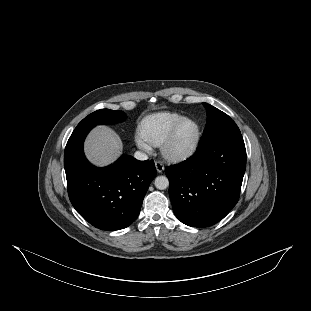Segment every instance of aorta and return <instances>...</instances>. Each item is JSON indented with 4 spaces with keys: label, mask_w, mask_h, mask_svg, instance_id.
Masks as SVG:
<instances>
[{
    "label": "aorta",
    "mask_w": 311,
    "mask_h": 311,
    "mask_svg": "<svg viewBox=\"0 0 311 311\" xmlns=\"http://www.w3.org/2000/svg\"><path fill=\"white\" fill-rule=\"evenodd\" d=\"M154 185L159 190H164L169 186V180L166 176H157L154 180Z\"/></svg>",
    "instance_id": "762f6f07"
}]
</instances>
